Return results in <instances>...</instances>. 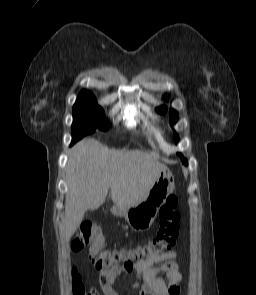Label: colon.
<instances>
[{"instance_id":"5ec220e1","label":"colon","mask_w":256,"mask_h":295,"mask_svg":"<svg viewBox=\"0 0 256 295\" xmlns=\"http://www.w3.org/2000/svg\"><path fill=\"white\" fill-rule=\"evenodd\" d=\"M177 206L178 198L170 195L159 210V231L156 236L128 250H105L101 228L84 222L71 242V251L77 253L87 248L91 263L99 270L117 266L129 269L139 261L158 258L170 252L175 245L180 220ZM71 283L73 295H94L86 291L82 278L75 269Z\"/></svg>"}]
</instances>
